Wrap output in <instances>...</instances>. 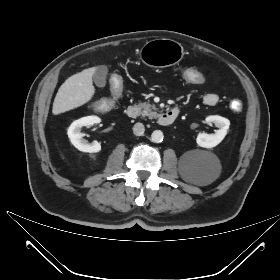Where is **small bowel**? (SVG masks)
Here are the masks:
<instances>
[{
  "label": "small bowel",
  "instance_id": "small-bowel-1",
  "mask_svg": "<svg viewBox=\"0 0 280 280\" xmlns=\"http://www.w3.org/2000/svg\"><path fill=\"white\" fill-rule=\"evenodd\" d=\"M218 101H219V97L215 93L210 92V93H206L203 96V103L206 106L209 107L215 106L218 103Z\"/></svg>",
  "mask_w": 280,
  "mask_h": 280
}]
</instances>
